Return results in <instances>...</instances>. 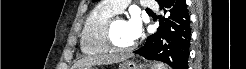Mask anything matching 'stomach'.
Listing matches in <instances>:
<instances>
[{
	"instance_id": "1",
	"label": "stomach",
	"mask_w": 246,
	"mask_h": 69,
	"mask_svg": "<svg viewBox=\"0 0 246 69\" xmlns=\"http://www.w3.org/2000/svg\"><path fill=\"white\" fill-rule=\"evenodd\" d=\"M144 65L138 64L134 61L126 60L123 64L120 65L119 69H144ZM83 69H93L92 67H85Z\"/></svg>"
}]
</instances>
